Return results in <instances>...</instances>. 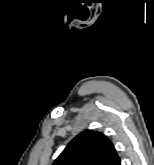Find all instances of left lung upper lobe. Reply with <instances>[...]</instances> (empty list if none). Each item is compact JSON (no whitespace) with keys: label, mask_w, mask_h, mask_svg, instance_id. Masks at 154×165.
<instances>
[{"label":"left lung upper lobe","mask_w":154,"mask_h":165,"mask_svg":"<svg viewBox=\"0 0 154 165\" xmlns=\"http://www.w3.org/2000/svg\"><path fill=\"white\" fill-rule=\"evenodd\" d=\"M53 165H120V159L105 135L86 130L66 146Z\"/></svg>","instance_id":"left-lung-upper-lobe-1"}]
</instances>
